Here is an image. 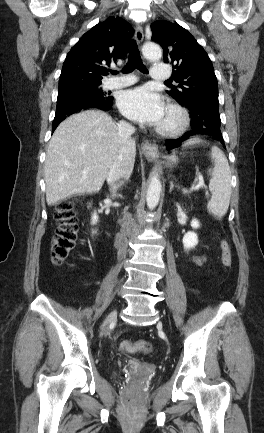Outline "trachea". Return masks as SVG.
<instances>
[{
  "instance_id": "trachea-1",
  "label": "trachea",
  "mask_w": 264,
  "mask_h": 433,
  "mask_svg": "<svg viewBox=\"0 0 264 433\" xmlns=\"http://www.w3.org/2000/svg\"><path fill=\"white\" fill-rule=\"evenodd\" d=\"M135 68L139 69L143 73H147L146 67L142 63L138 46L136 42L133 40L130 43L128 63L123 67L122 73L125 74L129 73ZM117 73L118 72L115 70L111 71V74L113 75ZM166 82H170V81H166Z\"/></svg>"
}]
</instances>
